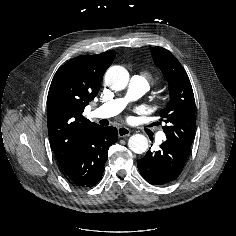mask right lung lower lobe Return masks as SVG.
I'll use <instances>...</instances> for the list:
<instances>
[{
    "label": "right lung lower lobe",
    "instance_id": "right-lung-lower-lobe-1",
    "mask_svg": "<svg viewBox=\"0 0 236 236\" xmlns=\"http://www.w3.org/2000/svg\"><path fill=\"white\" fill-rule=\"evenodd\" d=\"M117 139V129L111 126H97L90 131L75 160L64 169L68 180L80 188L94 186L102 177L108 149Z\"/></svg>",
    "mask_w": 236,
    "mask_h": 236
}]
</instances>
